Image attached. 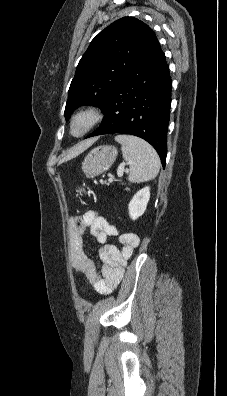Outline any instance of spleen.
I'll list each match as a JSON object with an SVG mask.
<instances>
[{"label":"spleen","instance_id":"spleen-1","mask_svg":"<svg viewBox=\"0 0 227 396\" xmlns=\"http://www.w3.org/2000/svg\"><path fill=\"white\" fill-rule=\"evenodd\" d=\"M115 141L121 144L123 158L130 166L128 179L131 182H146L157 176L160 158L150 144L131 135H118Z\"/></svg>","mask_w":227,"mask_h":396}]
</instances>
